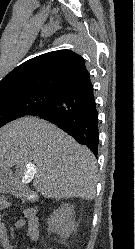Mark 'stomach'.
Instances as JSON below:
<instances>
[{
	"instance_id": "stomach-1",
	"label": "stomach",
	"mask_w": 135,
	"mask_h": 249,
	"mask_svg": "<svg viewBox=\"0 0 135 249\" xmlns=\"http://www.w3.org/2000/svg\"><path fill=\"white\" fill-rule=\"evenodd\" d=\"M9 178L7 177V171L5 169H0V183L7 182Z\"/></svg>"
}]
</instances>
